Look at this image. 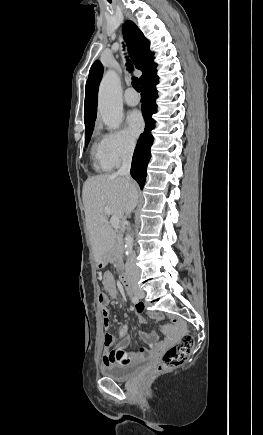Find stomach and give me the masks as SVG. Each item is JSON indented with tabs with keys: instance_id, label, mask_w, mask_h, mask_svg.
Segmentation results:
<instances>
[{
	"instance_id": "obj_1",
	"label": "stomach",
	"mask_w": 263,
	"mask_h": 435,
	"mask_svg": "<svg viewBox=\"0 0 263 435\" xmlns=\"http://www.w3.org/2000/svg\"><path fill=\"white\" fill-rule=\"evenodd\" d=\"M109 258H105L102 261L98 262L99 267H104L107 264Z\"/></svg>"
}]
</instances>
